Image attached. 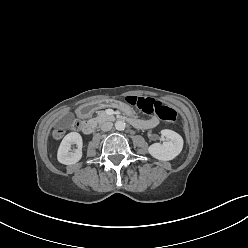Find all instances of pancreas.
<instances>
[{"mask_svg":"<svg viewBox=\"0 0 248 248\" xmlns=\"http://www.w3.org/2000/svg\"><path fill=\"white\" fill-rule=\"evenodd\" d=\"M113 117L112 116H109L106 114L105 111H97V117L95 118V120L101 124L105 121H109V120H112Z\"/></svg>","mask_w":248,"mask_h":248,"instance_id":"pancreas-1","label":"pancreas"}]
</instances>
